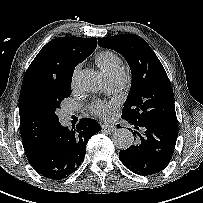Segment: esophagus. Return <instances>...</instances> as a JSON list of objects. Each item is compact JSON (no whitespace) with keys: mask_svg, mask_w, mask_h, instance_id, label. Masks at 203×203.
I'll return each instance as SVG.
<instances>
[{"mask_svg":"<svg viewBox=\"0 0 203 203\" xmlns=\"http://www.w3.org/2000/svg\"><path fill=\"white\" fill-rule=\"evenodd\" d=\"M102 128L103 129H109L111 131H114L116 129L115 126L109 122H103Z\"/></svg>","mask_w":203,"mask_h":203,"instance_id":"esophagus-1","label":"esophagus"}]
</instances>
